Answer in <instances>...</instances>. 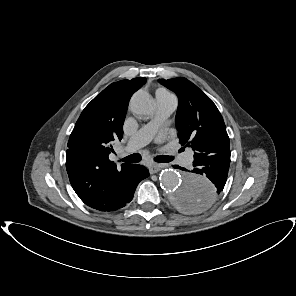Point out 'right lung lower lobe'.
Returning a JSON list of instances; mask_svg holds the SVG:
<instances>
[{
  "label": "right lung lower lobe",
  "mask_w": 296,
  "mask_h": 296,
  "mask_svg": "<svg viewBox=\"0 0 296 296\" xmlns=\"http://www.w3.org/2000/svg\"><path fill=\"white\" fill-rule=\"evenodd\" d=\"M148 176L149 172L144 166L131 164L125 176L123 195L110 211L120 209L129 203L133 198L138 183Z\"/></svg>",
  "instance_id": "1"
}]
</instances>
